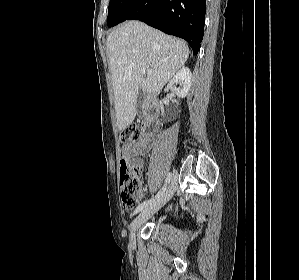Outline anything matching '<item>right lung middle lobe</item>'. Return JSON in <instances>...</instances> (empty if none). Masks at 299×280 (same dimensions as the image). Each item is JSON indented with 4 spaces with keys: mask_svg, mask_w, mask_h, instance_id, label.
Here are the masks:
<instances>
[{
    "mask_svg": "<svg viewBox=\"0 0 299 280\" xmlns=\"http://www.w3.org/2000/svg\"><path fill=\"white\" fill-rule=\"evenodd\" d=\"M135 0H110L108 7V27H113L119 22L120 16Z\"/></svg>",
    "mask_w": 299,
    "mask_h": 280,
    "instance_id": "obj_1",
    "label": "right lung middle lobe"
}]
</instances>
